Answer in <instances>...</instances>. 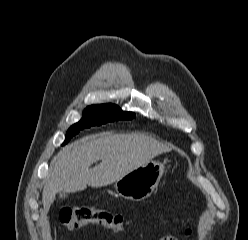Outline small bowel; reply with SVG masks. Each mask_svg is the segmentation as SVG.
Returning <instances> with one entry per match:
<instances>
[{"label":"small bowel","mask_w":248,"mask_h":240,"mask_svg":"<svg viewBox=\"0 0 248 240\" xmlns=\"http://www.w3.org/2000/svg\"><path fill=\"white\" fill-rule=\"evenodd\" d=\"M189 234H190L189 230H186L184 232V236H188ZM160 240H179V238L176 236H165V237L161 238Z\"/></svg>","instance_id":"1"}]
</instances>
